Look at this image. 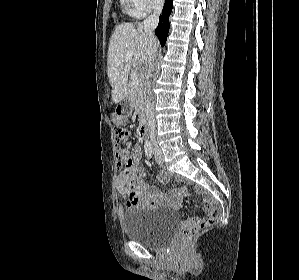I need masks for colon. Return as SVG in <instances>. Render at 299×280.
I'll return each mask as SVG.
<instances>
[{
    "instance_id": "obj_1",
    "label": "colon",
    "mask_w": 299,
    "mask_h": 280,
    "mask_svg": "<svg viewBox=\"0 0 299 280\" xmlns=\"http://www.w3.org/2000/svg\"><path fill=\"white\" fill-rule=\"evenodd\" d=\"M114 138L116 143L117 159L119 165L124 166V168H126L130 165V157L128 155L129 132L124 128L117 127L114 130ZM217 218L218 213L216 210H214L207 217L186 224L181 233V242L183 244H187L201 230L214 224Z\"/></svg>"
}]
</instances>
